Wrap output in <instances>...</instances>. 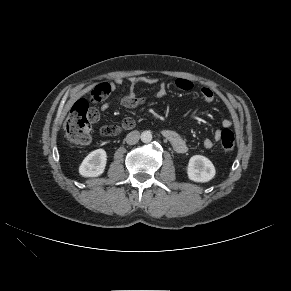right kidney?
I'll use <instances>...</instances> for the list:
<instances>
[{"instance_id": "ca27d5eb", "label": "right kidney", "mask_w": 291, "mask_h": 291, "mask_svg": "<svg viewBox=\"0 0 291 291\" xmlns=\"http://www.w3.org/2000/svg\"><path fill=\"white\" fill-rule=\"evenodd\" d=\"M107 154L103 149H97L85 157L79 167V174L83 177L100 176L105 169Z\"/></svg>"}]
</instances>
